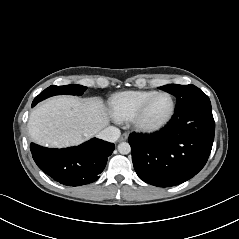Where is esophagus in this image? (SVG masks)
I'll return each instance as SVG.
<instances>
[{
    "label": "esophagus",
    "mask_w": 239,
    "mask_h": 239,
    "mask_svg": "<svg viewBox=\"0 0 239 239\" xmlns=\"http://www.w3.org/2000/svg\"><path fill=\"white\" fill-rule=\"evenodd\" d=\"M128 139V134L127 133H123L120 137V141H125Z\"/></svg>",
    "instance_id": "1"
}]
</instances>
